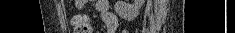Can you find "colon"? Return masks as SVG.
<instances>
[{"label":"colon","instance_id":"5ec220e1","mask_svg":"<svg viewBox=\"0 0 235 33\" xmlns=\"http://www.w3.org/2000/svg\"><path fill=\"white\" fill-rule=\"evenodd\" d=\"M74 33H92L91 21L87 16L76 15L72 18Z\"/></svg>","mask_w":235,"mask_h":33}]
</instances>
